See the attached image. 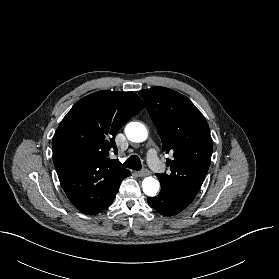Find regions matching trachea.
Returning <instances> with one entry per match:
<instances>
[{
  "label": "trachea",
  "mask_w": 279,
  "mask_h": 279,
  "mask_svg": "<svg viewBox=\"0 0 279 279\" xmlns=\"http://www.w3.org/2000/svg\"><path fill=\"white\" fill-rule=\"evenodd\" d=\"M123 167L130 168L133 170H141L142 164L137 155H131L123 164Z\"/></svg>",
  "instance_id": "obj_1"
}]
</instances>
